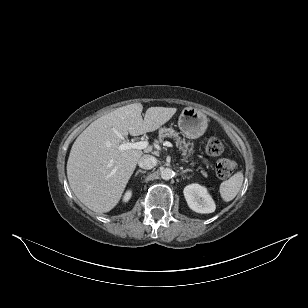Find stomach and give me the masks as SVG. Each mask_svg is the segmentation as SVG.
Returning a JSON list of instances; mask_svg holds the SVG:
<instances>
[{"instance_id":"stomach-1","label":"stomach","mask_w":308,"mask_h":308,"mask_svg":"<svg viewBox=\"0 0 308 308\" xmlns=\"http://www.w3.org/2000/svg\"><path fill=\"white\" fill-rule=\"evenodd\" d=\"M178 126L187 138L195 139L206 131L208 119L201 111L193 107H186L179 116Z\"/></svg>"}]
</instances>
